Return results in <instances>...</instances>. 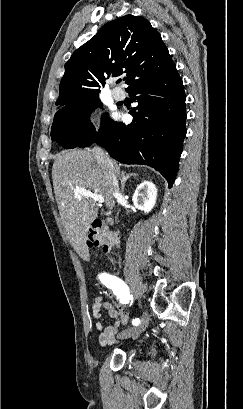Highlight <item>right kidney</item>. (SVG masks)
<instances>
[{
  "label": "right kidney",
  "instance_id": "right-kidney-1",
  "mask_svg": "<svg viewBox=\"0 0 243 409\" xmlns=\"http://www.w3.org/2000/svg\"><path fill=\"white\" fill-rule=\"evenodd\" d=\"M156 197V186L152 182L144 181L136 188L132 201L137 209L148 213L153 209Z\"/></svg>",
  "mask_w": 243,
  "mask_h": 409
}]
</instances>
